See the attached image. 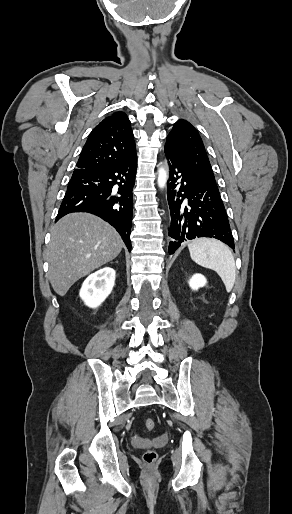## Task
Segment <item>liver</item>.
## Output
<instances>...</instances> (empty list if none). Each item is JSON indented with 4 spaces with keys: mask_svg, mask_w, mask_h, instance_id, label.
<instances>
[{
    "mask_svg": "<svg viewBox=\"0 0 292 514\" xmlns=\"http://www.w3.org/2000/svg\"><path fill=\"white\" fill-rule=\"evenodd\" d=\"M123 242L116 230L93 214H67L51 230L47 250L50 284L58 296L96 268L114 260Z\"/></svg>",
    "mask_w": 292,
    "mask_h": 514,
    "instance_id": "liver-1",
    "label": "liver"
}]
</instances>
